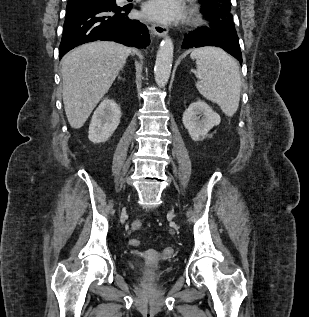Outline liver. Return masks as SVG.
Instances as JSON below:
<instances>
[{
	"instance_id": "6515ba94",
	"label": "liver",
	"mask_w": 309,
	"mask_h": 317,
	"mask_svg": "<svg viewBox=\"0 0 309 317\" xmlns=\"http://www.w3.org/2000/svg\"><path fill=\"white\" fill-rule=\"evenodd\" d=\"M131 48L108 41L79 46L62 59L63 102L72 128L84 125L126 63Z\"/></svg>"
}]
</instances>
